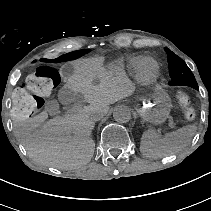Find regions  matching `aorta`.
<instances>
[{"label":"aorta","instance_id":"762f6f07","mask_svg":"<svg viewBox=\"0 0 211 211\" xmlns=\"http://www.w3.org/2000/svg\"><path fill=\"white\" fill-rule=\"evenodd\" d=\"M113 117L118 123H127L131 119V111L127 106L120 105L114 109Z\"/></svg>","mask_w":211,"mask_h":211}]
</instances>
